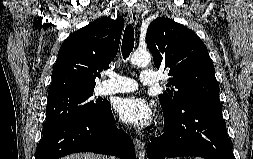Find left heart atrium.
Segmentation results:
<instances>
[{
  "label": "left heart atrium",
  "mask_w": 253,
  "mask_h": 159,
  "mask_svg": "<svg viewBox=\"0 0 253 159\" xmlns=\"http://www.w3.org/2000/svg\"><path fill=\"white\" fill-rule=\"evenodd\" d=\"M116 113L124 123L138 128H147L154 117L153 106L141 96L121 99L116 105Z\"/></svg>",
  "instance_id": "39dd6f15"
}]
</instances>
